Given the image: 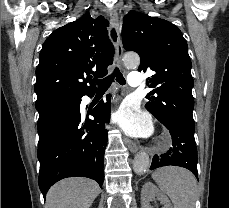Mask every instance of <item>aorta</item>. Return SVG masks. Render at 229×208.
<instances>
[{"mask_svg":"<svg viewBox=\"0 0 229 208\" xmlns=\"http://www.w3.org/2000/svg\"><path fill=\"white\" fill-rule=\"evenodd\" d=\"M124 63L128 68H137L140 64V58L135 53L125 54ZM150 167V159L146 152H139L135 155L133 161V170L136 174L145 173Z\"/></svg>","mask_w":229,"mask_h":208,"instance_id":"1","label":"aorta"}]
</instances>
